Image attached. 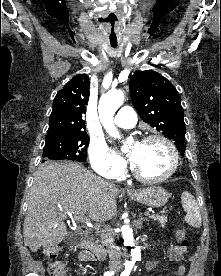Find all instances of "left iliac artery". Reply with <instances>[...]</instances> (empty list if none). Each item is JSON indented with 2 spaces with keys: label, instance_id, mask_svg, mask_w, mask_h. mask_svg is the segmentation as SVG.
<instances>
[{
  "label": "left iliac artery",
  "instance_id": "1",
  "mask_svg": "<svg viewBox=\"0 0 221 276\" xmlns=\"http://www.w3.org/2000/svg\"><path fill=\"white\" fill-rule=\"evenodd\" d=\"M130 268H126L122 273H121V276H129V273H130Z\"/></svg>",
  "mask_w": 221,
  "mask_h": 276
}]
</instances>
